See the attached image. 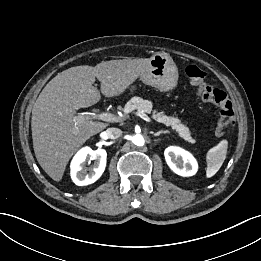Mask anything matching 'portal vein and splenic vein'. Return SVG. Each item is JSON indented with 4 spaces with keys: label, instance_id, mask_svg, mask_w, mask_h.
Wrapping results in <instances>:
<instances>
[{
    "label": "portal vein and splenic vein",
    "instance_id": "18ae733b",
    "mask_svg": "<svg viewBox=\"0 0 261 261\" xmlns=\"http://www.w3.org/2000/svg\"><path fill=\"white\" fill-rule=\"evenodd\" d=\"M137 115L147 122H152L151 118L143 112H137ZM91 119H99L106 122H119L121 120L119 117L112 113L102 112L99 114L90 113L88 115H77L74 117V122L77 124L81 121Z\"/></svg>",
    "mask_w": 261,
    "mask_h": 261
}]
</instances>
